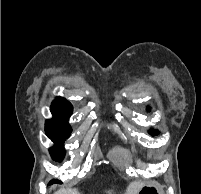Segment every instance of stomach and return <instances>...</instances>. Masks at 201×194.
Returning a JSON list of instances; mask_svg holds the SVG:
<instances>
[{
	"label": "stomach",
	"instance_id": "stomach-1",
	"mask_svg": "<svg viewBox=\"0 0 201 194\" xmlns=\"http://www.w3.org/2000/svg\"><path fill=\"white\" fill-rule=\"evenodd\" d=\"M138 194H160V188L157 184H144Z\"/></svg>",
	"mask_w": 201,
	"mask_h": 194
}]
</instances>
